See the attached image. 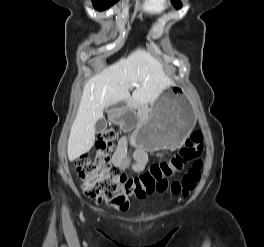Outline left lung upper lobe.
<instances>
[{"label": "left lung upper lobe", "instance_id": "left-lung-upper-lobe-1", "mask_svg": "<svg viewBox=\"0 0 264 247\" xmlns=\"http://www.w3.org/2000/svg\"><path fill=\"white\" fill-rule=\"evenodd\" d=\"M172 2L177 8H180L182 6L180 0H172Z\"/></svg>", "mask_w": 264, "mask_h": 247}]
</instances>
